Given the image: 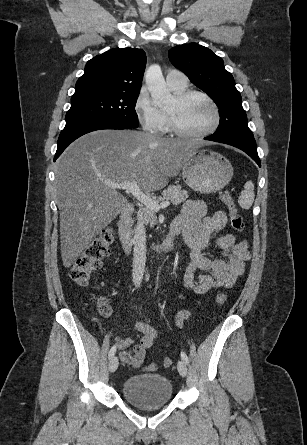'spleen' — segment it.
Returning a JSON list of instances; mask_svg holds the SVG:
<instances>
[{
  "label": "spleen",
  "instance_id": "obj_1",
  "mask_svg": "<svg viewBox=\"0 0 307 445\" xmlns=\"http://www.w3.org/2000/svg\"><path fill=\"white\" fill-rule=\"evenodd\" d=\"M254 184L252 180H247L244 184V190H242L238 202L241 208H250L254 202Z\"/></svg>",
  "mask_w": 307,
  "mask_h": 445
}]
</instances>
